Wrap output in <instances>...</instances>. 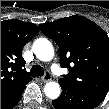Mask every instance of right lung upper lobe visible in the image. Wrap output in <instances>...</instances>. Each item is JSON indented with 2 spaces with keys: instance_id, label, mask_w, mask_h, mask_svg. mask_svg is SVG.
<instances>
[{
  "instance_id": "1",
  "label": "right lung upper lobe",
  "mask_w": 109,
  "mask_h": 109,
  "mask_svg": "<svg viewBox=\"0 0 109 109\" xmlns=\"http://www.w3.org/2000/svg\"><path fill=\"white\" fill-rule=\"evenodd\" d=\"M38 27L17 19L1 21V96L32 80L24 68L22 49Z\"/></svg>"
}]
</instances>
